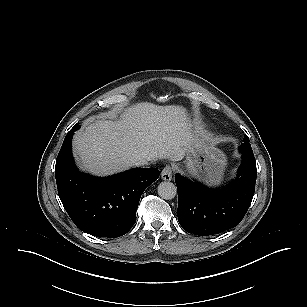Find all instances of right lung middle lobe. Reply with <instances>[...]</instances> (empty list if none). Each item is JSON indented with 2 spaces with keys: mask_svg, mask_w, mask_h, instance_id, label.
<instances>
[{
  "mask_svg": "<svg viewBox=\"0 0 307 307\" xmlns=\"http://www.w3.org/2000/svg\"><path fill=\"white\" fill-rule=\"evenodd\" d=\"M80 125L76 124L73 128H75V130L79 129Z\"/></svg>",
  "mask_w": 307,
  "mask_h": 307,
  "instance_id": "dd1d6c3e",
  "label": "right lung middle lobe"
}]
</instances>
